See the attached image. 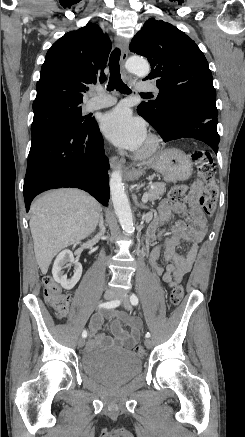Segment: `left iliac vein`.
<instances>
[{
	"instance_id": "left-iliac-vein-1",
	"label": "left iliac vein",
	"mask_w": 245,
	"mask_h": 437,
	"mask_svg": "<svg viewBox=\"0 0 245 437\" xmlns=\"http://www.w3.org/2000/svg\"><path fill=\"white\" fill-rule=\"evenodd\" d=\"M116 299L121 300L122 305L124 306V308L126 310H131L129 298H128V295L126 293H123V294L116 296ZM145 345L147 348H150L152 346V342L150 340H146Z\"/></svg>"
}]
</instances>
